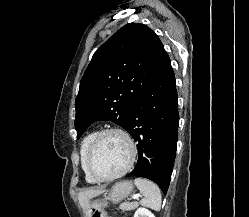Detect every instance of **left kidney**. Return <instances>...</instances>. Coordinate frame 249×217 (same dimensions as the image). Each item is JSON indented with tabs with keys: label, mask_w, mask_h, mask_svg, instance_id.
<instances>
[{
	"label": "left kidney",
	"mask_w": 249,
	"mask_h": 217,
	"mask_svg": "<svg viewBox=\"0 0 249 217\" xmlns=\"http://www.w3.org/2000/svg\"><path fill=\"white\" fill-rule=\"evenodd\" d=\"M134 217H155L154 214L146 208H138Z\"/></svg>",
	"instance_id": "5707ae66"
}]
</instances>
